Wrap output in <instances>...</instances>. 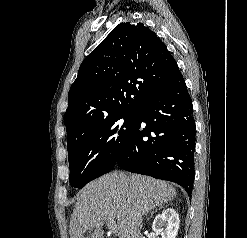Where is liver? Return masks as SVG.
<instances>
[{
  "instance_id": "1",
  "label": "liver",
  "mask_w": 247,
  "mask_h": 238,
  "mask_svg": "<svg viewBox=\"0 0 247 238\" xmlns=\"http://www.w3.org/2000/svg\"><path fill=\"white\" fill-rule=\"evenodd\" d=\"M176 190L165 181L114 171L87 184L77 196L70 237L104 238L103 221L117 220L119 238H140L138 216L172 200Z\"/></svg>"
}]
</instances>
